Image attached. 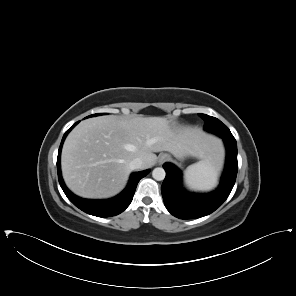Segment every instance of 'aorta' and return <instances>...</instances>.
<instances>
[{
	"mask_svg": "<svg viewBox=\"0 0 296 296\" xmlns=\"http://www.w3.org/2000/svg\"><path fill=\"white\" fill-rule=\"evenodd\" d=\"M165 175H166V172L163 168L161 167H157L153 170L152 172V177L157 180V181H162L164 180L165 178Z\"/></svg>",
	"mask_w": 296,
	"mask_h": 296,
	"instance_id": "762f6f07",
	"label": "aorta"
}]
</instances>
